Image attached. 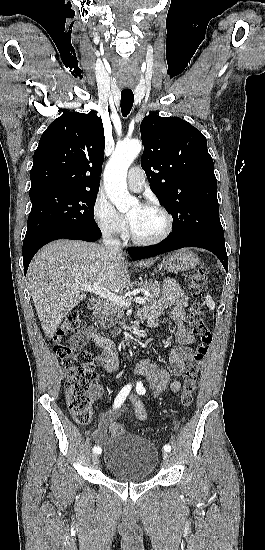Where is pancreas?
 Instances as JSON below:
<instances>
[{
    "label": "pancreas",
    "mask_w": 265,
    "mask_h": 550,
    "mask_svg": "<svg viewBox=\"0 0 265 550\" xmlns=\"http://www.w3.org/2000/svg\"><path fill=\"white\" fill-rule=\"evenodd\" d=\"M141 286L143 289L149 292V296L146 297V301L150 304L154 303L161 295V287L158 281L149 280L144 282L135 283ZM133 287V285H131ZM124 315V306H119L112 301L106 300L101 310L97 313V316L101 320V324L105 326L107 323H117V321ZM120 332V330H119Z\"/></svg>",
    "instance_id": "pancreas-1"
}]
</instances>
